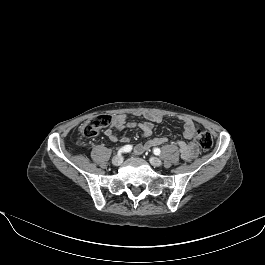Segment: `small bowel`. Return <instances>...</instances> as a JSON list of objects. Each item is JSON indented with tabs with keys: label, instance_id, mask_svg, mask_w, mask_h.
Here are the masks:
<instances>
[{
	"label": "small bowel",
	"instance_id": "c3829d8e",
	"mask_svg": "<svg viewBox=\"0 0 265 265\" xmlns=\"http://www.w3.org/2000/svg\"><path fill=\"white\" fill-rule=\"evenodd\" d=\"M134 115L143 117L145 120L136 122L130 120L125 114L115 115L112 118L111 126L106 129L105 135L113 142L121 141L123 143H127L129 138L126 136L119 138L116 131H121L126 128L139 127L142 130L144 137L149 138L153 133L154 125L162 121V116L152 111H136ZM179 121L183 125V136L187 141L177 140L176 145L179 148L181 157L185 161H191L198 154V147L193 142L196 126L192 119L185 116L179 117ZM165 142H167L166 137L149 138L145 142L137 144L134 147V153L141 154L148 148L161 145Z\"/></svg>",
	"mask_w": 265,
	"mask_h": 265
}]
</instances>
